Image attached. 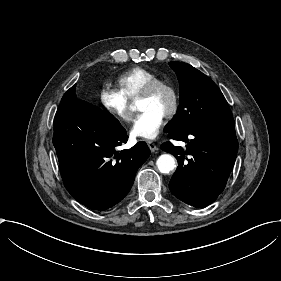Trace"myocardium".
<instances>
[{
	"instance_id": "f54148a6",
	"label": "myocardium",
	"mask_w": 281,
	"mask_h": 281,
	"mask_svg": "<svg viewBox=\"0 0 281 281\" xmlns=\"http://www.w3.org/2000/svg\"><path fill=\"white\" fill-rule=\"evenodd\" d=\"M160 89L166 90L170 97V105L164 115V119L169 120L175 116L179 107V96L176 88L171 83L161 79L152 81L140 94L139 99H150L154 97Z\"/></svg>"
}]
</instances>
